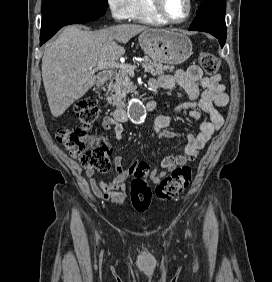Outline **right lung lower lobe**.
<instances>
[{
    "mask_svg": "<svg viewBox=\"0 0 272 282\" xmlns=\"http://www.w3.org/2000/svg\"><path fill=\"white\" fill-rule=\"evenodd\" d=\"M105 12L106 9L99 7H72L49 12L42 18L40 43H45L65 25L90 22Z\"/></svg>",
    "mask_w": 272,
    "mask_h": 282,
    "instance_id": "1",
    "label": "right lung lower lobe"
}]
</instances>
